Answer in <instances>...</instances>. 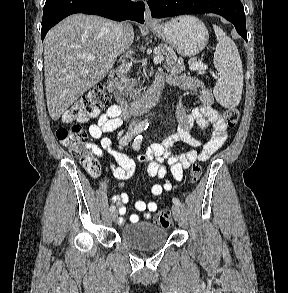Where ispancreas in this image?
<instances>
[{
  "label": "pancreas",
  "mask_w": 288,
  "mask_h": 293,
  "mask_svg": "<svg viewBox=\"0 0 288 293\" xmlns=\"http://www.w3.org/2000/svg\"><path fill=\"white\" fill-rule=\"evenodd\" d=\"M157 55H162L164 57L165 59L164 67L168 72L178 75L185 70V67L183 66V64L177 61V57L173 49H171L168 45H165V44L160 45ZM195 63L202 64L200 62H194V61H191L189 64L191 66ZM130 68H131V64H125L119 68L117 72V75H118L117 87H118V90L123 95L135 96L139 92V90L135 89L137 80L129 79L127 77V73L130 70Z\"/></svg>",
  "instance_id": "cf45deb5"
}]
</instances>
